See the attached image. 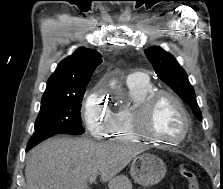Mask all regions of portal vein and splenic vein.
I'll list each match as a JSON object with an SVG mask.
<instances>
[{"mask_svg": "<svg viewBox=\"0 0 223 189\" xmlns=\"http://www.w3.org/2000/svg\"><path fill=\"white\" fill-rule=\"evenodd\" d=\"M96 177H97V175H93V176H91V177L89 178V182H90V183L95 182Z\"/></svg>", "mask_w": 223, "mask_h": 189, "instance_id": "obj_1", "label": "portal vein and splenic vein"}]
</instances>
